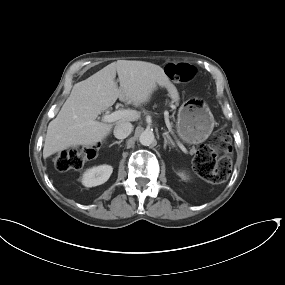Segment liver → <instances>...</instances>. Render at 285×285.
<instances>
[{
  "label": "liver",
  "instance_id": "1",
  "mask_svg": "<svg viewBox=\"0 0 285 285\" xmlns=\"http://www.w3.org/2000/svg\"><path fill=\"white\" fill-rule=\"evenodd\" d=\"M116 73L120 88L115 82ZM157 85L165 87L174 102L179 101L177 89L164 70L144 61L118 60L76 83L58 115L48 125L43 157L69 147L95 146L110 134L114 125L138 120L140 113L135 110H129L128 115L113 124L96 119L118 98L134 106L149 102Z\"/></svg>",
  "mask_w": 285,
  "mask_h": 285
}]
</instances>
